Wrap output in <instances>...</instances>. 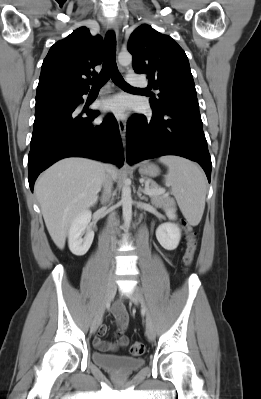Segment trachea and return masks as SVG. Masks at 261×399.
Listing matches in <instances>:
<instances>
[{
	"label": "trachea",
	"mask_w": 261,
	"mask_h": 399,
	"mask_svg": "<svg viewBox=\"0 0 261 399\" xmlns=\"http://www.w3.org/2000/svg\"><path fill=\"white\" fill-rule=\"evenodd\" d=\"M116 40L115 33L109 31L105 37V53L104 61L101 72L88 80V83L92 85V88H100L103 86L110 78L119 87L125 89H134L129 84H127L123 77L121 76L117 65H116ZM137 89V88H135Z\"/></svg>",
	"instance_id": "trachea-1"
}]
</instances>
